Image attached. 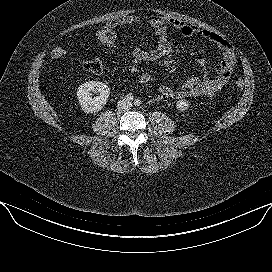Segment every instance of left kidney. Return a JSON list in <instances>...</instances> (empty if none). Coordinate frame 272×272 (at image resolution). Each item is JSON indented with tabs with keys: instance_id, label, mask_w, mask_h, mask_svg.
Here are the masks:
<instances>
[{
	"instance_id": "1",
	"label": "left kidney",
	"mask_w": 272,
	"mask_h": 272,
	"mask_svg": "<svg viewBox=\"0 0 272 272\" xmlns=\"http://www.w3.org/2000/svg\"><path fill=\"white\" fill-rule=\"evenodd\" d=\"M176 107L179 111H185L189 108V103L186 100H179L176 104Z\"/></svg>"
}]
</instances>
